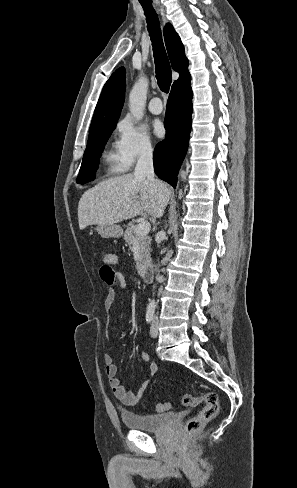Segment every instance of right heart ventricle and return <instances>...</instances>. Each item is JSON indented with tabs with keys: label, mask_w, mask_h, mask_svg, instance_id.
I'll list each match as a JSON object with an SVG mask.
<instances>
[{
	"label": "right heart ventricle",
	"mask_w": 297,
	"mask_h": 488,
	"mask_svg": "<svg viewBox=\"0 0 297 488\" xmlns=\"http://www.w3.org/2000/svg\"><path fill=\"white\" fill-rule=\"evenodd\" d=\"M103 161L106 170L109 173H120L126 169V166L122 162L117 150L114 147H108L103 155Z\"/></svg>",
	"instance_id": "e07e8e85"
}]
</instances>
